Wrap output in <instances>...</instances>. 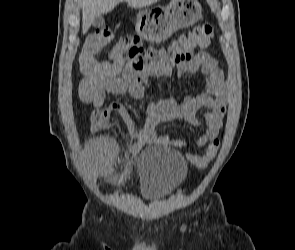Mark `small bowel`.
Returning a JSON list of instances; mask_svg holds the SVG:
<instances>
[{
    "instance_id": "c3829d8e",
    "label": "small bowel",
    "mask_w": 295,
    "mask_h": 250,
    "mask_svg": "<svg viewBox=\"0 0 295 250\" xmlns=\"http://www.w3.org/2000/svg\"><path fill=\"white\" fill-rule=\"evenodd\" d=\"M185 37L173 41L166 48H145L137 36L122 37L109 55V63H98L92 73H84L79 83V97L87 104L99 109L107 94L130 93L135 99L144 96L148 79L169 77L173 69L181 77L201 71L207 76L205 90L182 100L169 97L151 101L147 107L148 120L139 127L128 110L120 103H112L107 108L118 112L133 136L135 142L128 151L136 155L144 146H185L181 139L158 135L156 127L173 120H184L193 127H201L196 113L207 109L204 114L205 131L199 135L195 144L204 147L217 140L223 127L227 110L228 96L222 70L207 52L196 50L194 45L184 44ZM116 144L109 137L89 141L85 148V159L91 173L97 177H108L113 182L119 179L112 176ZM190 156V155H189Z\"/></svg>"
}]
</instances>
